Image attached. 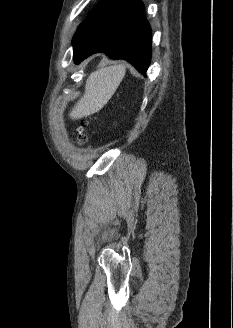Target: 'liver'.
I'll use <instances>...</instances> for the list:
<instances>
[{
  "label": "liver",
  "mask_w": 233,
  "mask_h": 328,
  "mask_svg": "<svg viewBox=\"0 0 233 328\" xmlns=\"http://www.w3.org/2000/svg\"><path fill=\"white\" fill-rule=\"evenodd\" d=\"M125 73L123 65L104 67L91 73L84 95L70 112V118L81 119L100 111L115 93Z\"/></svg>",
  "instance_id": "6515ba94"
}]
</instances>
